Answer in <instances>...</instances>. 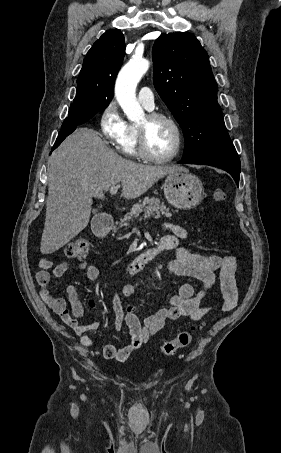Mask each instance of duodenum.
<instances>
[{"instance_id": "410a0bca", "label": "duodenum", "mask_w": 281, "mask_h": 453, "mask_svg": "<svg viewBox=\"0 0 281 453\" xmlns=\"http://www.w3.org/2000/svg\"><path fill=\"white\" fill-rule=\"evenodd\" d=\"M112 227V219L109 217H99L93 224L94 234L98 237H104L108 234ZM168 249V244L162 238L154 246L147 249L138 255L129 265V272L136 273L151 259H153L160 252Z\"/></svg>"}]
</instances>
